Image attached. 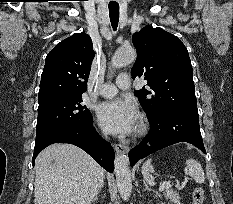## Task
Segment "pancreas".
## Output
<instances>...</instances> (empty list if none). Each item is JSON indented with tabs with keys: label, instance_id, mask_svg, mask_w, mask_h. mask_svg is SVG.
Segmentation results:
<instances>
[{
	"label": "pancreas",
	"instance_id": "obj_1",
	"mask_svg": "<svg viewBox=\"0 0 233 204\" xmlns=\"http://www.w3.org/2000/svg\"><path fill=\"white\" fill-rule=\"evenodd\" d=\"M163 194L166 199L173 202L174 204H180V197L176 191H173L172 189H167L163 192Z\"/></svg>",
	"mask_w": 233,
	"mask_h": 204
}]
</instances>
